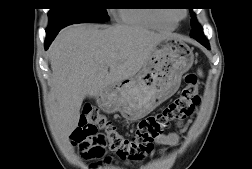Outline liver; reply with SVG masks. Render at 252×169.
<instances>
[{
  "label": "liver",
  "instance_id": "6515ba94",
  "mask_svg": "<svg viewBox=\"0 0 252 169\" xmlns=\"http://www.w3.org/2000/svg\"><path fill=\"white\" fill-rule=\"evenodd\" d=\"M171 33L141 27L71 25L60 31L49 48L51 93L56 100L54 126L67 140L77 127L86 96H99L115 83L134 77L155 47Z\"/></svg>",
  "mask_w": 252,
  "mask_h": 169
}]
</instances>
